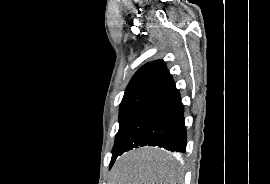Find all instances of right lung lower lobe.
Masks as SVG:
<instances>
[{
	"label": "right lung lower lobe",
	"mask_w": 270,
	"mask_h": 184,
	"mask_svg": "<svg viewBox=\"0 0 270 184\" xmlns=\"http://www.w3.org/2000/svg\"><path fill=\"white\" fill-rule=\"evenodd\" d=\"M186 143L184 106L172 82L149 97L131 125L119 155L147 145L163 147L172 152H185Z\"/></svg>",
	"instance_id": "right-lung-lower-lobe-1"
}]
</instances>
